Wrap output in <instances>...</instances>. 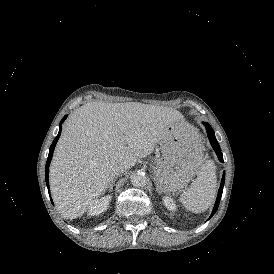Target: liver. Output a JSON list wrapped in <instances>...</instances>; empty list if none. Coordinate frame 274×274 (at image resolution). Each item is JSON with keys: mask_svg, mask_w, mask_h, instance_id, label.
I'll return each mask as SVG.
<instances>
[{"mask_svg": "<svg viewBox=\"0 0 274 274\" xmlns=\"http://www.w3.org/2000/svg\"><path fill=\"white\" fill-rule=\"evenodd\" d=\"M185 125L176 109L140 102H89L66 121L50 167L53 200L66 219L83 216L111 185ZM186 130L183 131V133Z\"/></svg>", "mask_w": 274, "mask_h": 274, "instance_id": "6515ba94", "label": "liver"}]
</instances>
